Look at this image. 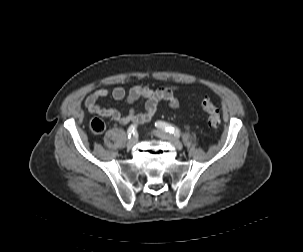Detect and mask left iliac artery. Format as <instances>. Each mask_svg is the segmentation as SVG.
<instances>
[{
	"label": "left iliac artery",
	"mask_w": 303,
	"mask_h": 252,
	"mask_svg": "<svg viewBox=\"0 0 303 252\" xmlns=\"http://www.w3.org/2000/svg\"><path fill=\"white\" fill-rule=\"evenodd\" d=\"M155 126L157 128H162V129L166 130L167 132L174 134L175 137L180 136V130L178 128L166 123V122L157 121L155 123Z\"/></svg>",
	"instance_id": "left-iliac-artery-1"
}]
</instances>
